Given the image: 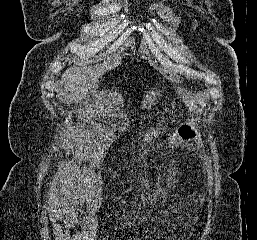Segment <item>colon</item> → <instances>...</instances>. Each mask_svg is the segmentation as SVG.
<instances>
[{"label": "colon", "instance_id": "1", "mask_svg": "<svg viewBox=\"0 0 257 240\" xmlns=\"http://www.w3.org/2000/svg\"><path fill=\"white\" fill-rule=\"evenodd\" d=\"M198 130L199 129L196 118H192L190 121L180 127L178 136L172 140L167 150L161 156L157 176L155 180L151 183L148 193L142 199L136 216H140L144 208H146L153 202L163 180L171 171L173 159L180 143L195 138L198 135Z\"/></svg>", "mask_w": 257, "mask_h": 240}]
</instances>
